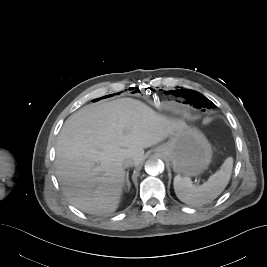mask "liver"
I'll list each match as a JSON object with an SVG mask.
<instances>
[{
  "label": "liver",
  "mask_w": 267,
  "mask_h": 267,
  "mask_svg": "<svg viewBox=\"0 0 267 267\" xmlns=\"http://www.w3.org/2000/svg\"><path fill=\"white\" fill-rule=\"evenodd\" d=\"M186 127L132 98L82 107L65 121L57 140L56 175L65 196L89 214L113 213L125 183L123 161L140 165L144 148Z\"/></svg>",
  "instance_id": "1"
}]
</instances>
